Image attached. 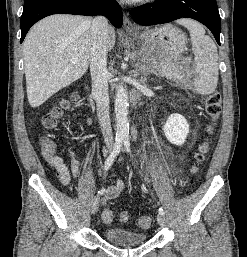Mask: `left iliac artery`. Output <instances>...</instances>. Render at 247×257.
<instances>
[{"label": "left iliac artery", "mask_w": 247, "mask_h": 257, "mask_svg": "<svg viewBox=\"0 0 247 257\" xmlns=\"http://www.w3.org/2000/svg\"><path fill=\"white\" fill-rule=\"evenodd\" d=\"M123 142H124L125 150H126L128 153H130V141H129V139H128V138H125V139L123 140ZM158 212H159L160 214H162V215H165V212H164V210H163L162 208H159Z\"/></svg>", "instance_id": "obj_1"}]
</instances>
